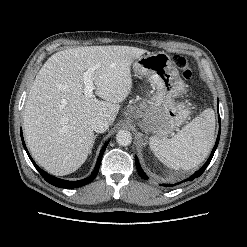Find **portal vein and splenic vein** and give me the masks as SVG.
Masks as SVG:
<instances>
[{"mask_svg": "<svg viewBox=\"0 0 247 247\" xmlns=\"http://www.w3.org/2000/svg\"><path fill=\"white\" fill-rule=\"evenodd\" d=\"M96 69H97V66H93L83 73L82 78L84 82V94L88 98L93 97V90L95 89V85L93 83L92 74L94 73Z\"/></svg>", "mask_w": 247, "mask_h": 247, "instance_id": "1", "label": "portal vein and splenic vein"}]
</instances>
